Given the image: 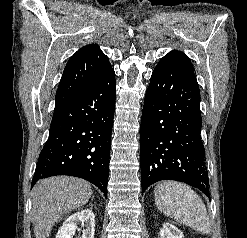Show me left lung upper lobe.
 Returning <instances> with one entry per match:
<instances>
[{
  "label": "left lung upper lobe",
  "mask_w": 247,
  "mask_h": 238,
  "mask_svg": "<svg viewBox=\"0 0 247 238\" xmlns=\"http://www.w3.org/2000/svg\"><path fill=\"white\" fill-rule=\"evenodd\" d=\"M163 58L175 60L178 63L186 66L187 68H189L190 70L194 72V68H193V65L190 59L184 53L180 51H176V50L171 51L169 54L165 55Z\"/></svg>",
  "instance_id": "left-lung-upper-lobe-1"
}]
</instances>
